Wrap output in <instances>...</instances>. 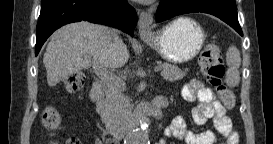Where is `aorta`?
Masks as SVG:
<instances>
[{
	"mask_svg": "<svg viewBox=\"0 0 273 144\" xmlns=\"http://www.w3.org/2000/svg\"><path fill=\"white\" fill-rule=\"evenodd\" d=\"M149 124L148 120L143 121L139 128L128 135L127 144H149Z\"/></svg>",
	"mask_w": 273,
	"mask_h": 144,
	"instance_id": "obj_1",
	"label": "aorta"
}]
</instances>
